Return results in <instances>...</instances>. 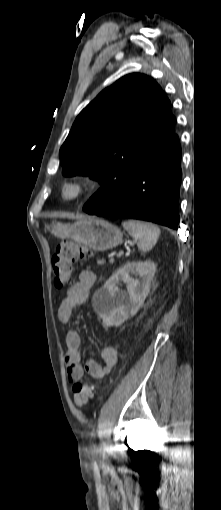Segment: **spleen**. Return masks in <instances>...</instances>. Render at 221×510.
Here are the masks:
<instances>
[{"label": "spleen", "mask_w": 221, "mask_h": 510, "mask_svg": "<svg viewBox=\"0 0 221 510\" xmlns=\"http://www.w3.org/2000/svg\"><path fill=\"white\" fill-rule=\"evenodd\" d=\"M122 226L137 240L138 248L142 252L150 251L160 235V229L149 222L126 220L122 222Z\"/></svg>", "instance_id": "spleen-1"}]
</instances>
